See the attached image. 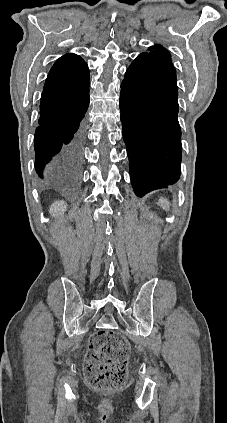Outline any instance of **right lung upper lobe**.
<instances>
[{
  "label": "right lung upper lobe",
  "mask_w": 227,
  "mask_h": 423,
  "mask_svg": "<svg viewBox=\"0 0 227 423\" xmlns=\"http://www.w3.org/2000/svg\"><path fill=\"white\" fill-rule=\"evenodd\" d=\"M89 69L84 60L75 54L59 58L51 68L42 97L60 100L82 96L89 92Z\"/></svg>",
  "instance_id": "right-lung-upper-lobe-1"
}]
</instances>
